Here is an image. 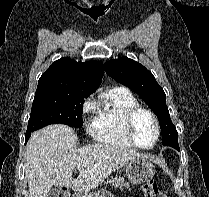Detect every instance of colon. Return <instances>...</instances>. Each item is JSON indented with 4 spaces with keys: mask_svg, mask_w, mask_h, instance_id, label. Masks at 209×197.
I'll list each match as a JSON object with an SVG mask.
<instances>
[{
    "mask_svg": "<svg viewBox=\"0 0 209 197\" xmlns=\"http://www.w3.org/2000/svg\"><path fill=\"white\" fill-rule=\"evenodd\" d=\"M144 197H166V195L160 191L155 181H149L143 186ZM57 197H72L68 191H61Z\"/></svg>",
    "mask_w": 209,
    "mask_h": 197,
    "instance_id": "obj_1",
    "label": "colon"
}]
</instances>
